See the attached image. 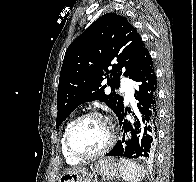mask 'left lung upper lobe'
<instances>
[{"label":"left lung upper lobe","instance_id":"1","mask_svg":"<svg viewBox=\"0 0 196 182\" xmlns=\"http://www.w3.org/2000/svg\"><path fill=\"white\" fill-rule=\"evenodd\" d=\"M150 59L140 35L125 17L107 13L98 18L66 50L57 92L56 127L88 101H103L118 115L123 97L115 92L105 94L104 76L115 91L122 74L133 80Z\"/></svg>","mask_w":196,"mask_h":182}]
</instances>
